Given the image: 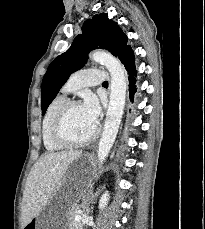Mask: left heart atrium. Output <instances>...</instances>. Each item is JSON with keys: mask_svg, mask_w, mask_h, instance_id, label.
Returning <instances> with one entry per match:
<instances>
[{"mask_svg": "<svg viewBox=\"0 0 205 229\" xmlns=\"http://www.w3.org/2000/svg\"><path fill=\"white\" fill-rule=\"evenodd\" d=\"M81 106L89 119L97 123L100 114V104L97 97L93 94L85 95Z\"/></svg>", "mask_w": 205, "mask_h": 229, "instance_id": "obj_1", "label": "left heart atrium"}]
</instances>
